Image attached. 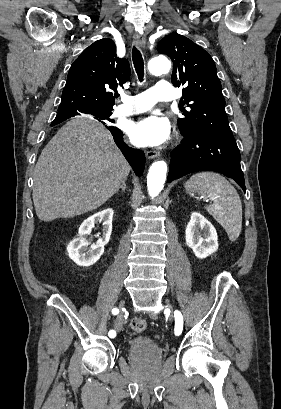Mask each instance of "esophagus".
I'll return each mask as SVG.
<instances>
[{"label":"esophagus","instance_id":"1","mask_svg":"<svg viewBox=\"0 0 281 409\" xmlns=\"http://www.w3.org/2000/svg\"><path fill=\"white\" fill-rule=\"evenodd\" d=\"M134 40H135V43H136V45L138 47H141L142 49L145 48V46H146V37L144 35H142L140 33H136L134 35ZM159 155H160V152H158L156 150H149L148 152H146V156L149 159L159 157Z\"/></svg>","mask_w":281,"mask_h":409}]
</instances>
